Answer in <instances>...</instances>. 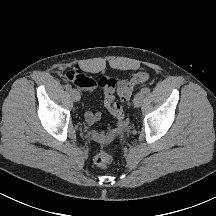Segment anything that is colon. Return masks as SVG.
Returning a JSON list of instances; mask_svg holds the SVG:
<instances>
[{
  "instance_id": "5ec220e1",
  "label": "colon",
  "mask_w": 216,
  "mask_h": 216,
  "mask_svg": "<svg viewBox=\"0 0 216 216\" xmlns=\"http://www.w3.org/2000/svg\"><path fill=\"white\" fill-rule=\"evenodd\" d=\"M66 76L73 82H78L82 79V74H77L73 71L68 72ZM149 78V73L138 72L124 81L108 76H103L99 79L98 85L104 90V101L120 125L123 126L125 118L123 104L131 97L135 87L144 84ZM114 93H117L118 101L114 100ZM94 163L100 168H106L112 163V157L108 152L101 151L95 155Z\"/></svg>"
}]
</instances>
